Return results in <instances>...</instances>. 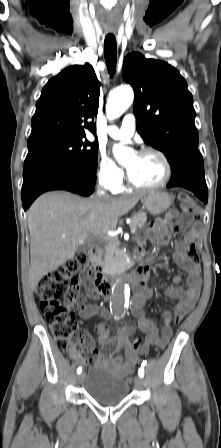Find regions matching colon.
<instances>
[{
    "label": "colon",
    "mask_w": 221,
    "mask_h": 448,
    "mask_svg": "<svg viewBox=\"0 0 221 448\" xmlns=\"http://www.w3.org/2000/svg\"><path fill=\"white\" fill-rule=\"evenodd\" d=\"M179 202L181 205L182 222L187 225L196 213V203L186 193L179 195ZM88 258L87 252H77L63 266L45 275L36 289L40 308L45 314L57 346L75 358L80 357V349L77 346L76 338L78 323L71 310L66 305H63L60 300L67 296L74 287L79 286L82 281L91 276V272L87 269ZM186 258L193 264L199 263L200 257L194 244L189 246ZM179 321V318L175 319L176 323ZM81 342L87 348H91L93 345L92 340L85 335L81 336ZM141 345L142 339L135 342L136 347ZM86 360H91L89 353Z\"/></svg>",
    "instance_id": "5ec220e1"
}]
</instances>
